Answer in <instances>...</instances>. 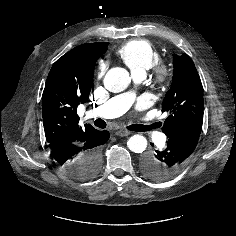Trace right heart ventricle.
I'll return each mask as SVG.
<instances>
[{"label": "right heart ventricle", "mask_w": 236, "mask_h": 236, "mask_svg": "<svg viewBox=\"0 0 236 236\" xmlns=\"http://www.w3.org/2000/svg\"><path fill=\"white\" fill-rule=\"evenodd\" d=\"M116 55L133 74H145L160 59L159 51L145 39H133L124 43L116 50Z\"/></svg>", "instance_id": "1"}]
</instances>
